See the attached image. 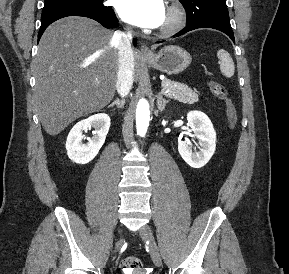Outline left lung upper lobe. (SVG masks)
Listing matches in <instances>:
<instances>
[{
    "instance_id": "obj_1",
    "label": "left lung upper lobe",
    "mask_w": 289,
    "mask_h": 274,
    "mask_svg": "<svg viewBox=\"0 0 289 274\" xmlns=\"http://www.w3.org/2000/svg\"><path fill=\"white\" fill-rule=\"evenodd\" d=\"M185 8L187 25L206 19L229 20L225 0H179Z\"/></svg>"
}]
</instances>
